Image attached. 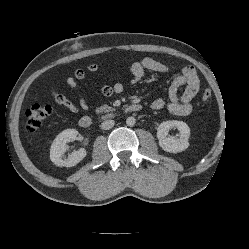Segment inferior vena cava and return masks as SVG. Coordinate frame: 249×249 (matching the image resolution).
Returning a JSON list of instances; mask_svg holds the SVG:
<instances>
[{"mask_svg":"<svg viewBox=\"0 0 249 249\" xmlns=\"http://www.w3.org/2000/svg\"><path fill=\"white\" fill-rule=\"evenodd\" d=\"M114 120H106L101 124V128L104 130H109L114 126Z\"/></svg>","mask_w":249,"mask_h":249,"instance_id":"inferior-vena-cava-1","label":"inferior vena cava"}]
</instances>
